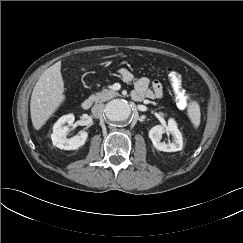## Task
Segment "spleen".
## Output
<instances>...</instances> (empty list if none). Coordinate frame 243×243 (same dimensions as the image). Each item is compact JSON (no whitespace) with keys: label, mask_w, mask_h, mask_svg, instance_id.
I'll return each mask as SVG.
<instances>
[{"label":"spleen","mask_w":243,"mask_h":243,"mask_svg":"<svg viewBox=\"0 0 243 243\" xmlns=\"http://www.w3.org/2000/svg\"><path fill=\"white\" fill-rule=\"evenodd\" d=\"M187 115L194 127L198 128L200 125L201 113L200 106L196 101H191L188 104Z\"/></svg>","instance_id":"1"}]
</instances>
